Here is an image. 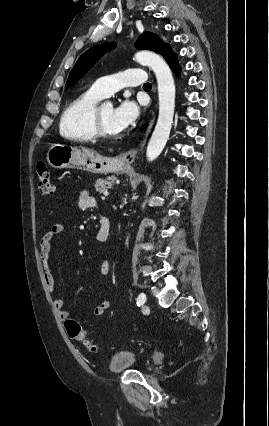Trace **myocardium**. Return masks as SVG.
Instances as JSON below:
<instances>
[{
	"instance_id": "1",
	"label": "myocardium",
	"mask_w": 269,
	"mask_h": 426,
	"mask_svg": "<svg viewBox=\"0 0 269 426\" xmlns=\"http://www.w3.org/2000/svg\"><path fill=\"white\" fill-rule=\"evenodd\" d=\"M100 108H95L92 116V127L95 133V138L103 140V141H110L117 139V135H109L103 128L101 120H100V114H99Z\"/></svg>"
}]
</instances>
